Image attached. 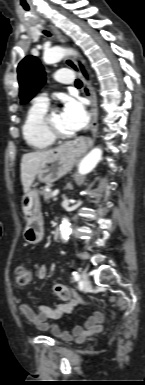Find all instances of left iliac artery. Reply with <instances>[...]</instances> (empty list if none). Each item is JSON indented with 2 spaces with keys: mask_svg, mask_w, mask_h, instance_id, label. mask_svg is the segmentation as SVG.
I'll return each instance as SVG.
<instances>
[{
  "mask_svg": "<svg viewBox=\"0 0 145 385\" xmlns=\"http://www.w3.org/2000/svg\"><path fill=\"white\" fill-rule=\"evenodd\" d=\"M72 275H73V278H74V280H76V281H79L80 280V275L78 274V272H73L72 273Z\"/></svg>",
  "mask_w": 145,
  "mask_h": 385,
  "instance_id": "obj_1",
  "label": "left iliac artery"
}]
</instances>
